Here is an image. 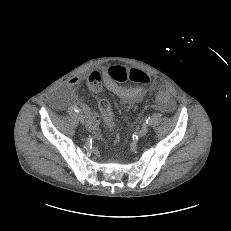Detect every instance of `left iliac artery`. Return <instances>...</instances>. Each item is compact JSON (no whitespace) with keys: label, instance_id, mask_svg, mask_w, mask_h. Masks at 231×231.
<instances>
[{"label":"left iliac artery","instance_id":"44dca946","mask_svg":"<svg viewBox=\"0 0 231 231\" xmlns=\"http://www.w3.org/2000/svg\"><path fill=\"white\" fill-rule=\"evenodd\" d=\"M146 123H147L148 125L151 124V118H150V117L147 118Z\"/></svg>","mask_w":231,"mask_h":231}]
</instances>
